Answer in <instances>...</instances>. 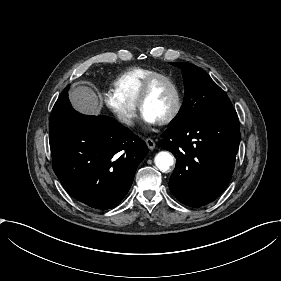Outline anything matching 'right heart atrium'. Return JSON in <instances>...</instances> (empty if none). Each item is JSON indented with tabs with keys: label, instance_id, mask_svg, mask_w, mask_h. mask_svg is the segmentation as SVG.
Segmentation results:
<instances>
[{
	"label": "right heart atrium",
	"instance_id": "d8ad5b80",
	"mask_svg": "<svg viewBox=\"0 0 281 281\" xmlns=\"http://www.w3.org/2000/svg\"><path fill=\"white\" fill-rule=\"evenodd\" d=\"M107 107L113 112L118 121L127 127L137 122V107L122 99L115 89L109 88L102 93Z\"/></svg>",
	"mask_w": 281,
	"mask_h": 281
}]
</instances>
